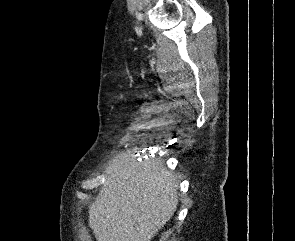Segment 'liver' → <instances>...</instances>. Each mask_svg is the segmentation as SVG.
Returning <instances> with one entry per match:
<instances>
[{
    "label": "liver",
    "instance_id": "1",
    "mask_svg": "<svg viewBox=\"0 0 295 241\" xmlns=\"http://www.w3.org/2000/svg\"><path fill=\"white\" fill-rule=\"evenodd\" d=\"M105 183L89 206L97 241H151L177 209V177L161 160L137 162L122 152L105 170Z\"/></svg>",
    "mask_w": 295,
    "mask_h": 241
}]
</instances>
